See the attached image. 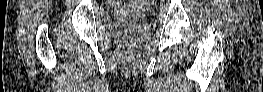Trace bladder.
Wrapping results in <instances>:
<instances>
[{
  "mask_svg": "<svg viewBox=\"0 0 263 92\" xmlns=\"http://www.w3.org/2000/svg\"><path fill=\"white\" fill-rule=\"evenodd\" d=\"M124 15H132L135 14L134 12H127V13H123Z\"/></svg>",
  "mask_w": 263,
  "mask_h": 92,
  "instance_id": "1",
  "label": "bladder"
}]
</instances>
